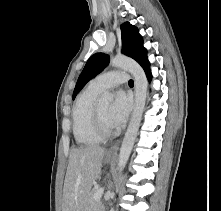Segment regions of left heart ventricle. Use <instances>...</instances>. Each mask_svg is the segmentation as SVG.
Returning <instances> with one entry per match:
<instances>
[{
	"instance_id": "1",
	"label": "left heart ventricle",
	"mask_w": 221,
	"mask_h": 211,
	"mask_svg": "<svg viewBox=\"0 0 221 211\" xmlns=\"http://www.w3.org/2000/svg\"><path fill=\"white\" fill-rule=\"evenodd\" d=\"M98 109H99L101 118H102L104 124L106 125V127L113 130V127L111 126V124L109 122V118H108L110 105L109 104H100V105H98Z\"/></svg>"
}]
</instances>
